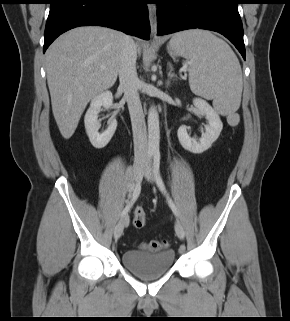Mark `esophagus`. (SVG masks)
<instances>
[{"label":"esophagus","mask_w":290,"mask_h":321,"mask_svg":"<svg viewBox=\"0 0 290 321\" xmlns=\"http://www.w3.org/2000/svg\"><path fill=\"white\" fill-rule=\"evenodd\" d=\"M149 21L151 28V36L156 37V28H157V8L153 4L148 5Z\"/></svg>","instance_id":"34e87169"}]
</instances>
